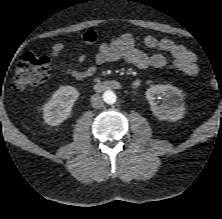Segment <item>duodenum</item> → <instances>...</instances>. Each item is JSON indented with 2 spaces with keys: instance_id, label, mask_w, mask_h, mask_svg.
<instances>
[{
  "instance_id": "obj_1",
  "label": "duodenum",
  "mask_w": 222,
  "mask_h": 219,
  "mask_svg": "<svg viewBox=\"0 0 222 219\" xmlns=\"http://www.w3.org/2000/svg\"><path fill=\"white\" fill-rule=\"evenodd\" d=\"M133 86L138 87L139 82L134 83ZM93 88L96 90H100V91H105V90H109V89L117 90V89L121 88V84L117 81L110 80V81L96 83L93 85Z\"/></svg>"
}]
</instances>
